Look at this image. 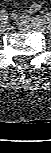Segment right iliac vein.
<instances>
[{
    "label": "right iliac vein",
    "mask_w": 51,
    "mask_h": 153,
    "mask_svg": "<svg viewBox=\"0 0 51 153\" xmlns=\"http://www.w3.org/2000/svg\"><path fill=\"white\" fill-rule=\"evenodd\" d=\"M9 30H10L9 25H7L6 23L1 24L0 31L2 33H7V32H9Z\"/></svg>",
    "instance_id": "right-iliac-vein-1"
}]
</instances>
